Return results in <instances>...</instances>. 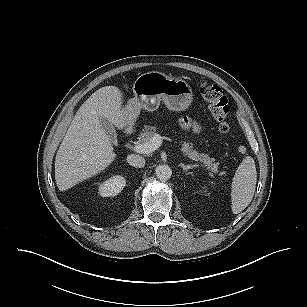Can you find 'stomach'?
Masks as SVG:
<instances>
[{
	"label": "stomach",
	"mask_w": 307,
	"mask_h": 307,
	"mask_svg": "<svg viewBox=\"0 0 307 307\" xmlns=\"http://www.w3.org/2000/svg\"><path fill=\"white\" fill-rule=\"evenodd\" d=\"M134 98L129 99L124 109L128 124H133L141 109L155 111L161 100L172 111H184L193 101L191 86L183 79L167 76L158 71L140 75L133 84Z\"/></svg>",
	"instance_id": "stomach-1"
}]
</instances>
